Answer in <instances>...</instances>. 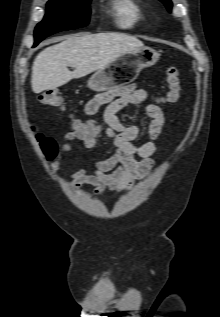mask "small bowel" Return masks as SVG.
I'll return each mask as SVG.
<instances>
[{
    "label": "small bowel",
    "mask_w": 220,
    "mask_h": 317,
    "mask_svg": "<svg viewBox=\"0 0 220 317\" xmlns=\"http://www.w3.org/2000/svg\"><path fill=\"white\" fill-rule=\"evenodd\" d=\"M142 103H146V112L151 120L146 129L147 139L137 143L143 134L142 129L138 125L124 124L118 113L128 105ZM103 105H106L103 120L88 119L77 124L64 136L61 147V153L77 145L89 151L102 136L110 141L114 148L110 157L97 161L92 172L84 168L68 178L73 188L93 186V194L96 196L101 195L106 188L111 193L121 192L147 175L153 166V156L157 151L156 140L162 133L165 121L161 108L155 103L147 102V92L136 86L96 94L87 102L84 113L91 117Z\"/></svg>",
    "instance_id": "small-bowel-1"
}]
</instances>
